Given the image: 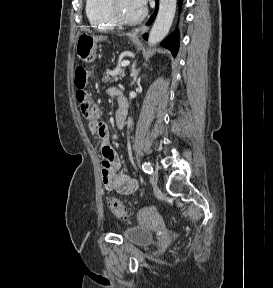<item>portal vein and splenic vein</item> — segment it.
Instances as JSON below:
<instances>
[{
	"label": "portal vein and splenic vein",
	"mask_w": 273,
	"mask_h": 288,
	"mask_svg": "<svg viewBox=\"0 0 273 288\" xmlns=\"http://www.w3.org/2000/svg\"><path fill=\"white\" fill-rule=\"evenodd\" d=\"M130 64V62L128 60H125L121 63V66L125 67L128 66Z\"/></svg>",
	"instance_id": "portal-vein-and-splenic-vein-1"
}]
</instances>
